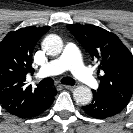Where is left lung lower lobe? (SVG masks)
Returning <instances> with one entry per match:
<instances>
[{
  "instance_id": "0a47b994",
  "label": "left lung lower lobe",
  "mask_w": 133,
  "mask_h": 133,
  "mask_svg": "<svg viewBox=\"0 0 133 133\" xmlns=\"http://www.w3.org/2000/svg\"><path fill=\"white\" fill-rule=\"evenodd\" d=\"M125 106L124 104L94 93L92 102L82 107V109L87 115L93 118H107L120 113Z\"/></svg>"
}]
</instances>
